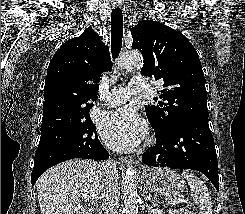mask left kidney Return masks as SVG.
Returning <instances> with one entry per match:
<instances>
[{
    "mask_svg": "<svg viewBox=\"0 0 245 214\" xmlns=\"http://www.w3.org/2000/svg\"><path fill=\"white\" fill-rule=\"evenodd\" d=\"M169 214H180V213H179V211H177L175 209L174 210L172 209V210L169 211Z\"/></svg>",
    "mask_w": 245,
    "mask_h": 214,
    "instance_id": "1",
    "label": "left kidney"
}]
</instances>
